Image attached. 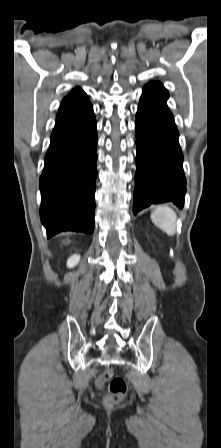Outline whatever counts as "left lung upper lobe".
<instances>
[{
	"label": "left lung upper lobe",
	"instance_id": "1",
	"mask_svg": "<svg viewBox=\"0 0 221 448\" xmlns=\"http://www.w3.org/2000/svg\"><path fill=\"white\" fill-rule=\"evenodd\" d=\"M145 87H149L151 89L168 94V91L163 87V85L160 82H149V84L145 85Z\"/></svg>",
	"mask_w": 221,
	"mask_h": 448
}]
</instances>
